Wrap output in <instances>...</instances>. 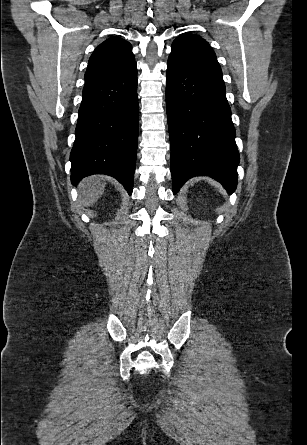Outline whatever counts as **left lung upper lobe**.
Returning <instances> with one entry per match:
<instances>
[{
    "mask_svg": "<svg viewBox=\"0 0 307 445\" xmlns=\"http://www.w3.org/2000/svg\"><path fill=\"white\" fill-rule=\"evenodd\" d=\"M169 57L184 63L208 79L224 84L215 53L200 36L181 34L174 40Z\"/></svg>",
    "mask_w": 307,
    "mask_h": 445,
    "instance_id": "1",
    "label": "left lung upper lobe"
}]
</instances>
